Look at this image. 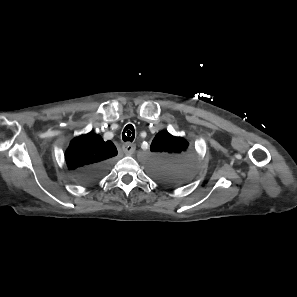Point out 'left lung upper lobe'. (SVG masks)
<instances>
[{"instance_id":"obj_1","label":"left lung upper lobe","mask_w":297,"mask_h":297,"mask_svg":"<svg viewBox=\"0 0 297 297\" xmlns=\"http://www.w3.org/2000/svg\"><path fill=\"white\" fill-rule=\"evenodd\" d=\"M148 158L150 174L165 184H178L192 174L193 155L188 151V142L168 132H159L150 146Z\"/></svg>"}]
</instances>
